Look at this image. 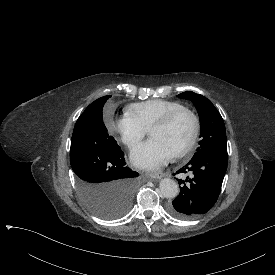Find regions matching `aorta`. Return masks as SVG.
<instances>
[{"instance_id":"obj_1","label":"aorta","mask_w":275,"mask_h":275,"mask_svg":"<svg viewBox=\"0 0 275 275\" xmlns=\"http://www.w3.org/2000/svg\"><path fill=\"white\" fill-rule=\"evenodd\" d=\"M159 190L163 197L173 198L177 196L179 188L175 180L170 178H163L159 182Z\"/></svg>"}]
</instances>
